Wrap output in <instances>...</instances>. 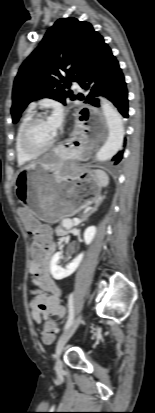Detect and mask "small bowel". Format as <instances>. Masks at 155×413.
I'll return each instance as SVG.
<instances>
[{
    "instance_id": "c3829d8e",
    "label": "small bowel",
    "mask_w": 155,
    "mask_h": 413,
    "mask_svg": "<svg viewBox=\"0 0 155 413\" xmlns=\"http://www.w3.org/2000/svg\"><path fill=\"white\" fill-rule=\"evenodd\" d=\"M15 212L21 218L26 231H38L44 238L47 246L43 260L33 259L29 264V273L32 284L37 289L33 292L31 301V316L34 322L40 323L42 317L46 319L54 316L61 319L65 315V308L61 305V288L50 275V264L55 250L50 227L46 225L45 218H32L34 212L25 205H17Z\"/></svg>"
}]
</instances>
